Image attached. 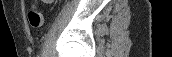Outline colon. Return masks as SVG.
<instances>
[{"mask_svg": "<svg viewBox=\"0 0 172 57\" xmlns=\"http://www.w3.org/2000/svg\"><path fill=\"white\" fill-rule=\"evenodd\" d=\"M28 20L33 28H39L43 24V14L35 2L28 11Z\"/></svg>", "mask_w": 172, "mask_h": 57, "instance_id": "colon-1", "label": "colon"}]
</instances>
